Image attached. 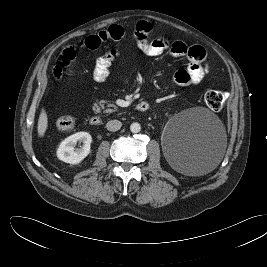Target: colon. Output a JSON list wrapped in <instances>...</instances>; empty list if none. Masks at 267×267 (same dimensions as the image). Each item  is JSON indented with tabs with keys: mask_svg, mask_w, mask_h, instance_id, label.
<instances>
[{
	"mask_svg": "<svg viewBox=\"0 0 267 267\" xmlns=\"http://www.w3.org/2000/svg\"><path fill=\"white\" fill-rule=\"evenodd\" d=\"M227 97L224 91L209 90L204 94V101L213 111H221L226 104ZM55 126L60 131H70L74 127V121L69 116H62L56 119Z\"/></svg>",
	"mask_w": 267,
	"mask_h": 267,
	"instance_id": "5ec220e1",
	"label": "colon"
}]
</instances>
